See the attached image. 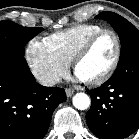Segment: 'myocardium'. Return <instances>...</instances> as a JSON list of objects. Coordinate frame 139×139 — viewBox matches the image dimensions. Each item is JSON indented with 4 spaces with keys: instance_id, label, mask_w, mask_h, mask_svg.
Here are the masks:
<instances>
[{
    "instance_id": "obj_1",
    "label": "myocardium",
    "mask_w": 139,
    "mask_h": 139,
    "mask_svg": "<svg viewBox=\"0 0 139 139\" xmlns=\"http://www.w3.org/2000/svg\"><path fill=\"white\" fill-rule=\"evenodd\" d=\"M109 34L113 37L115 42V54L113 57V60L108 67V69L98 78L94 80H90L91 84L94 85H100L105 83L107 80H109L115 71L117 70L121 55H122V44L119 35L112 29H101L100 31L94 33L91 35L76 51V53L73 56L72 59V65L74 70H76V67L79 63V61L90 51V49L93 47V45L96 43V41L102 37L103 35Z\"/></svg>"
}]
</instances>
